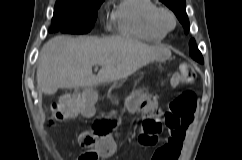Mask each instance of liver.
<instances>
[{
    "label": "liver",
    "mask_w": 242,
    "mask_h": 160,
    "mask_svg": "<svg viewBox=\"0 0 242 160\" xmlns=\"http://www.w3.org/2000/svg\"><path fill=\"white\" fill-rule=\"evenodd\" d=\"M171 57L164 46H149L125 37L56 36L44 44L37 68V86L45 95L59 88L76 89L111 83L153 62ZM101 66L97 75L92 67Z\"/></svg>",
    "instance_id": "1"
}]
</instances>
